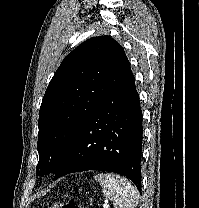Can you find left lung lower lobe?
<instances>
[{"label":"left lung lower lobe","instance_id":"left-lung-lower-lobe-1","mask_svg":"<svg viewBox=\"0 0 199 208\" xmlns=\"http://www.w3.org/2000/svg\"><path fill=\"white\" fill-rule=\"evenodd\" d=\"M142 111L130 71L84 122L54 180L85 170L115 172L141 192Z\"/></svg>","mask_w":199,"mask_h":208}]
</instances>
